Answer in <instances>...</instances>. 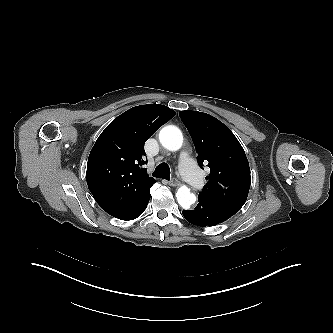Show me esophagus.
I'll use <instances>...</instances> for the list:
<instances>
[{
    "mask_svg": "<svg viewBox=\"0 0 333 333\" xmlns=\"http://www.w3.org/2000/svg\"><path fill=\"white\" fill-rule=\"evenodd\" d=\"M168 184L172 187H176L180 185V182L177 179L173 178L172 180L168 181Z\"/></svg>",
    "mask_w": 333,
    "mask_h": 333,
    "instance_id": "1",
    "label": "esophagus"
}]
</instances>
